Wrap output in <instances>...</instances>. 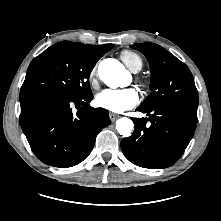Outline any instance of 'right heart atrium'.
I'll return each instance as SVG.
<instances>
[{
	"mask_svg": "<svg viewBox=\"0 0 221 221\" xmlns=\"http://www.w3.org/2000/svg\"><path fill=\"white\" fill-rule=\"evenodd\" d=\"M97 66H93L89 72L88 79L92 87L96 86Z\"/></svg>",
	"mask_w": 221,
	"mask_h": 221,
	"instance_id": "d8ad5b80",
	"label": "right heart atrium"
}]
</instances>
